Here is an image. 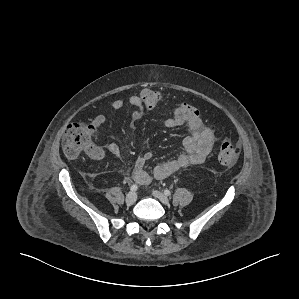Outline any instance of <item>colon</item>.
I'll use <instances>...</instances> for the list:
<instances>
[{"label": "colon", "mask_w": 299, "mask_h": 299, "mask_svg": "<svg viewBox=\"0 0 299 299\" xmlns=\"http://www.w3.org/2000/svg\"><path fill=\"white\" fill-rule=\"evenodd\" d=\"M141 100L144 107L149 112L162 111L161 107L163 101L158 91L146 88L140 92ZM177 125H187L191 121L200 117L198 109L187 103L183 102L173 107L170 110L169 116ZM95 129L83 123H72L68 125L62 147L66 157L74 159L84 151H92L93 148V135ZM239 148L231 142H223L218 152V161L224 166H233L239 158Z\"/></svg>", "instance_id": "obj_1"}]
</instances>
